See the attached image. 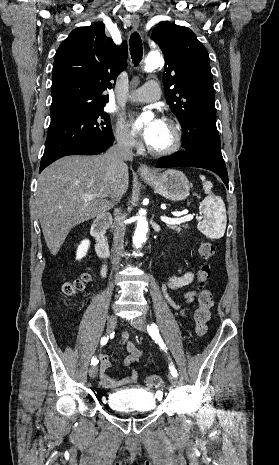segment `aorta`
<instances>
[{"mask_svg":"<svg viewBox=\"0 0 279 465\" xmlns=\"http://www.w3.org/2000/svg\"><path fill=\"white\" fill-rule=\"evenodd\" d=\"M162 62L158 54H150L145 60V70L151 71ZM149 114H142L141 121H145ZM148 232V223L146 217L142 214L137 216V227L133 236V244L140 247L146 241Z\"/></svg>","mask_w":279,"mask_h":465,"instance_id":"aorta-1","label":"aorta"}]
</instances>
